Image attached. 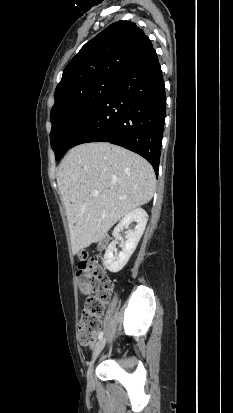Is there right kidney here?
Returning <instances> with one entry per match:
<instances>
[{"label":"right kidney","instance_id":"1","mask_svg":"<svg viewBox=\"0 0 233 413\" xmlns=\"http://www.w3.org/2000/svg\"><path fill=\"white\" fill-rule=\"evenodd\" d=\"M147 220V212L142 208H136L124 216L120 223L114 228L113 236L115 237V240L107 247L103 260L104 266L110 272H119L127 264L143 235ZM133 221L136 222V225L132 231L126 234V242L122 246V251L118 255L114 254L119 232Z\"/></svg>","mask_w":233,"mask_h":413}]
</instances>
